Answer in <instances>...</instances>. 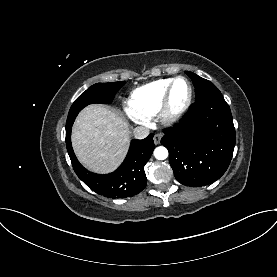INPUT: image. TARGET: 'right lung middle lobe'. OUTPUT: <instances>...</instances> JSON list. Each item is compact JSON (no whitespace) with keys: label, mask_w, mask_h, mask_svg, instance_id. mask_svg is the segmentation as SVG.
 Here are the masks:
<instances>
[{"label":"right lung middle lobe","mask_w":277,"mask_h":277,"mask_svg":"<svg viewBox=\"0 0 277 277\" xmlns=\"http://www.w3.org/2000/svg\"><path fill=\"white\" fill-rule=\"evenodd\" d=\"M125 81L111 83H97L83 92L72 104L67 117L66 128L73 125L78 113L87 105L92 103H110Z\"/></svg>","instance_id":"1"}]
</instances>
